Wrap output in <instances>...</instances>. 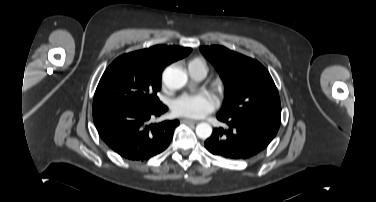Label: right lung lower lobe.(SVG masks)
<instances>
[{"instance_id": "1", "label": "right lung lower lobe", "mask_w": 376, "mask_h": 202, "mask_svg": "<svg viewBox=\"0 0 376 202\" xmlns=\"http://www.w3.org/2000/svg\"><path fill=\"white\" fill-rule=\"evenodd\" d=\"M167 111L161 102L152 106L114 103L93 109V120L102 140L125 159L144 161L170 144L178 120L150 124L151 117Z\"/></svg>"}]
</instances>
